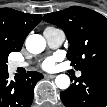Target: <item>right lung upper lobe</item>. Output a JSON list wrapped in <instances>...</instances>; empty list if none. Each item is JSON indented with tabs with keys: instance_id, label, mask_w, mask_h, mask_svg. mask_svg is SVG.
Instances as JSON below:
<instances>
[{
	"instance_id": "right-lung-upper-lobe-1",
	"label": "right lung upper lobe",
	"mask_w": 107,
	"mask_h": 107,
	"mask_svg": "<svg viewBox=\"0 0 107 107\" xmlns=\"http://www.w3.org/2000/svg\"><path fill=\"white\" fill-rule=\"evenodd\" d=\"M41 15L0 9V57L20 51L29 32L41 21Z\"/></svg>"
}]
</instances>
